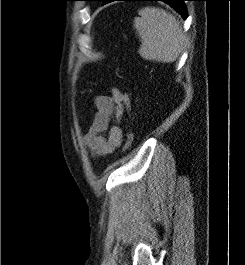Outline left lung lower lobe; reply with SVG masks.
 <instances>
[{
    "instance_id": "1",
    "label": "left lung lower lobe",
    "mask_w": 245,
    "mask_h": 265,
    "mask_svg": "<svg viewBox=\"0 0 245 265\" xmlns=\"http://www.w3.org/2000/svg\"><path fill=\"white\" fill-rule=\"evenodd\" d=\"M112 1H163L171 5L174 9H176L183 16V18H186L187 14L183 2L191 0H105L103 1V5Z\"/></svg>"
}]
</instances>
